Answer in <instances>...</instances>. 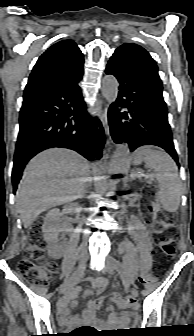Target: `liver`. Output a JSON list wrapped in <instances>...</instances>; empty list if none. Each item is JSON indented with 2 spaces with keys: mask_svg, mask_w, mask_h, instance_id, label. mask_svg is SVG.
I'll return each mask as SVG.
<instances>
[{
  "mask_svg": "<svg viewBox=\"0 0 194 336\" xmlns=\"http://www.w3.org/2000/svg\"><path fill=\"white\" fill-rule=\"evenodd\" d=\"M90 166L73 150L52 148L27 164L16 193V205L25 228L44 211L81 198Z\"/></svg>",
  "mask_w": 194,
  "mask_h": 336,
  "instance_id": "obj_1",
  "label": "liver"
}]
</instances>
